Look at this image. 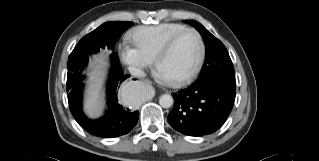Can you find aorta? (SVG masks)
Listing matches in <instances>:
<instances>
[{
    "mask_svg": "<svg viewBox=\"0 0 319 161\" xmlns=\"http://www.w3.org/2000/svg\"><path fill=\"white\" fill-rule=\"evenodd\" d=\"M140 89L148 90L147 87L142 86ZM173 97L169 94H164L159 98V104L163 108H170L173 105Z\"/></svg>",
    "mask_w": 319,
    "mask_h": 161,
    "instance_id": "aorta-1",
    "label": "aorta"
}]
</instances>
